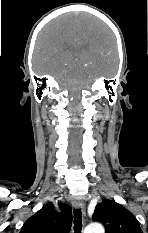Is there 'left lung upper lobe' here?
Listing matches in <instances>:
<instances>
[{
    "label": "left lung upper lobe",
    "instance_id": "obj_1",
    "mask_svg": "<svg viewBox=\"0 0 148 233\" xmlns=\"http://www.w3.org/2000/svg\"><path fill=\"white\" fill-rule=\"evenodd\" d=\"M92 219L102 223L106 233H143L135 216L113 200L99 203Z\"/></svg>",
    "mask_w": 148,
    "mask_h": 233
}]
</instances>
